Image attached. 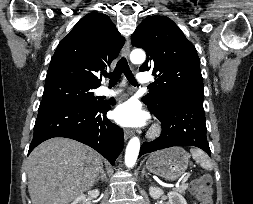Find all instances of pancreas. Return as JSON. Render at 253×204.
I'll return each instance as SVG.
<instances>
[{
    "mask_svg": "<svg viewBox=\"0 0 253 204\" xmlns=\"http://www.w3.org/2000/svg\"><path fill=\"white\" fill-rule=\"evenodd\" d=\"M188 188V185L187 184H182L180 185L178 188L174 189L175 192H178V193H181V194H184L185 193V190Z\"/></svg>",
    "mask_w": 253,
    "mask_h": 204,
    "instance_id": "pancreas-1",
    "label": "pancreas"
}]
</instances>
